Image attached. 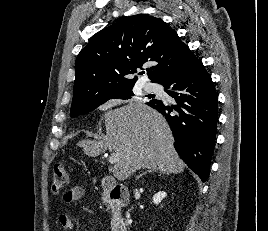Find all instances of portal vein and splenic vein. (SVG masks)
<instances>
[{
  "mask_svg": "<svg viewBox=\"0 0 268 231\" xmlns=\"http://www.w3.org/2000/svg\"><path fill=\"white\" fill-rule=\"evenodd\" d=\"M108 161L110 164H115L119 161V158L116 154L112 153L110 154Z\"/></svg>",
  "mask_w": 268,
  "mask_h": 231,
  "instance_id": "obj_1",
  "label": "portal vein and splenic vein"
}]
</instances>
